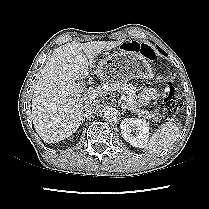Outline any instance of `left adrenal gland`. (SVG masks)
<instances>
[{
	"instance_id": "a2214340",
	"label": "left adrenal gland",
	"mask_w": 209,
	"mask_h": 209,
	"mask_svg": "<svg viewBox=\"0 0 209 209\" xmlns=\"http://www.w3.org/2000/svg\"><path fill=\"white\" fill-rule=\"evenodd\" d=\"M121 108H122V113H124L128 107L125 105L124 102H121Z\"/></svg>"
}]
</instances>
